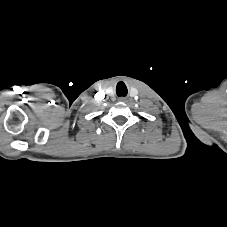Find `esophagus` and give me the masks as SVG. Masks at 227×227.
<instances>
[{
  "label": "esophagus",
  "mask_w": 227,
  "mask_h": 227,
  "mask_svg": "<svg viewBox=\"0 0 227 227\" xmlns=\"http://www.w3.org/2000/svg\"><path fill=\"white\" fill-rule=\"evenodd\" d=\"M120 100H121V101H124L125 99H124V98H121Z\"/></svg>",
  "instance_id": "34e87169"
}]
</instances>
